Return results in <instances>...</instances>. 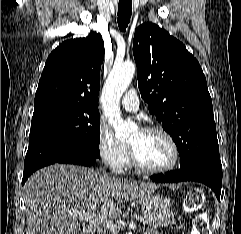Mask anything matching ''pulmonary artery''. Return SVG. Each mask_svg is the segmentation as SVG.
Wrapping results in <instances>:
<instances>
[{
    "label": "pulmonary artery",
    "mask_w": 241,
    "mask_h": 234,
    "mask_svg": "<svg viewBox=\"0 0 241 234\" xmlns=\"http://www.w3.org/2000/svg\"><path fill=\"white\" fill-rule=\"evenodd\" d=\"M123 108L129 112H136L139 109V97L135 89L128 90L122 98Z\"/></svg>",
    "instance_id": "obj_1"
}]
</instances>
